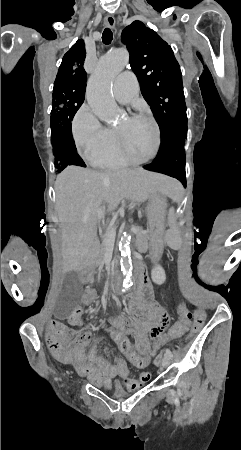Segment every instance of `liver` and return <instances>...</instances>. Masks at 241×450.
Returning a JSON list of instances; mask_svg holds the SVG:
<instances>
[{"label":"liver","instance_id":"liver-1","mask_svg":"<svg viewBox=\"0 0 241 450\" xmlns=\"http://www.w3.org/2000/svg\"><path fill=\"white\" fill-rule=\"evenodd\" d=\"M170 184L176 180L145 170L65 168L55 182L64 272H81L94 264L97 224L105 212H113L121 200L145 202L153 194H167Z\"/></svg>","mask_w":241,"mask_h":450}]
</instances>
